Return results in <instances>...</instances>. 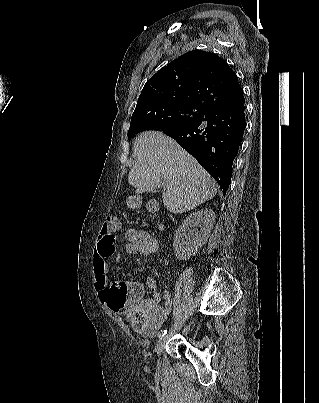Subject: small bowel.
I'll use <instances>...</instances> for the list:
<instances>
[{
  "instance_id": "small-bowel-1",
  "label": "small bowel",
  "mask_w": 319,
  "mask_h": 403,
  "mask_svg": "<svg viewBox=\"0 0 319 403\" xmlns=\"http://www.w3.org/2000/svg\"><path fill=\"white\" fill-rule=\"evenodd\" d=\"M120 230L116 215L107 213L104 224L99 225V238L93 253L95 288L100 294L101 307H108L113 315H119L132 335L152 338L167 321L172 301L167 291H159L153 276H147L143 281L153 291L151 298H144L145 286L136 285L135 279H109L107 283V259L112 254H119ZM161 298L164 299L162 305Z\"/></svg>"
}]
</instances>
